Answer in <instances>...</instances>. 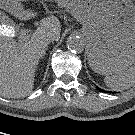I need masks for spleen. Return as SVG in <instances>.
I'll return each mask as SVG.
<instances>
[{"label": "spleen", "mask_w": 135, "mask_h": 135, "mask_svg": "<svg viewBox=\"0 0 135 135\" xmlns=\"http://www.w3.org/2000/svg\"><path fill=\"white\" fill-rule=\"evenodd\" d=\"M104 82L107 87L114 91H123L135 85V64L126 71L119 72L115 75H106Z\"/></svg>", "instance_id": "3e777b00"}]
</instances>
